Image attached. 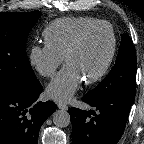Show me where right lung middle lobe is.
<instances>
[{
	"instance_id": "1",
	"label": "right lung middle lobe",
	"mask_w": 144,
	"mask_h": 144,
	"mask_svg": "<svg viewBox=\"0 0 144 144\" xmlns=\"http://www.w3.org/2000/svg\"><path fill=\"white\" fill-rule=\"evenodd\" d=\"M40 11L0 13V87L29 89L37 80L26 53V39Z\"/></svg>"
}]
</instances>
